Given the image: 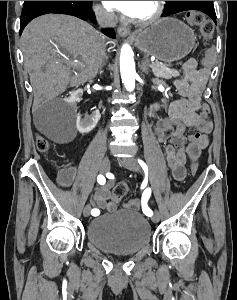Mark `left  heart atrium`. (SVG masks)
Instances as JSON below:
<instances>
[{
	"label": "left heart atrium",
	"mask_w": 237,
	"mask_h": 300,
	"mask_svg": "<svg viewBox=\"0 0 237 300\" xmlns=\"http://www.w3.org/2000/svg\"><path fill=\"white\" fill-rule=\"evenodd\" d=\"M107 9L120 12L127 16H132L140 1H103Z\"/></svg>",
	"instance_id": "obj_1"
}]
</instances>
